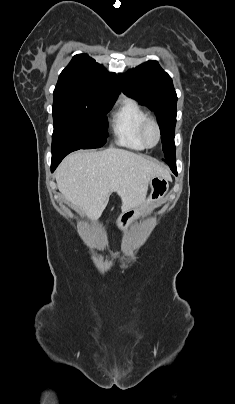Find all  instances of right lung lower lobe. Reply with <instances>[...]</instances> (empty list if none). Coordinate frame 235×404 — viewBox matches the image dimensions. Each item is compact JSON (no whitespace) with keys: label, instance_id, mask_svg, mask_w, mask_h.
<instances>
[{"label":"right lung lower lobe","instance_id":"obj_1","mask_svg":"<svg viewBox=\"0 0 235 404\" xmlns=\"http://www.w3.org/2000/svg\"><path fill=\"white\" fill-rule=\"evenodd\" d=\"M76 149L71 148V149H58L55 151H52V162H51V171L53 172L58 164L62 161V159L68 155L69 153L75 151Z\"/></svg>","mask_w":235,"mask_h":404}]
</instances>
